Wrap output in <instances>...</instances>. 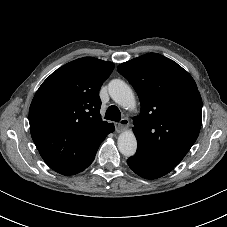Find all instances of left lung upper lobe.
<instances>
[{
  "label": "left lung upper lobe",
  "instance_id": "5c2ea615",
  "mask_svg": "<svg viewBox=\"0 0 227 227\" xmlns=\"http://www.w3.org/2000/svg\"><path fill=\"white\" fill-rule=\"evenodd\" d=\"M141 101L134 117L136 155L175 167L196 141L202 120V99L191 75L171 59L148 53L122 63Z\"/></svg>",
  "mask_w": 227,
  "mask_h": 227
}]
</instances>
